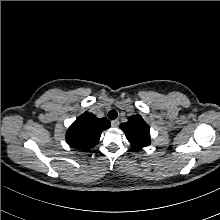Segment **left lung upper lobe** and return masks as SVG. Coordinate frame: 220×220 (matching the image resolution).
Here are the masks:
<instances>
[{"mask_svg": "<svg viewBox=\"0 0 220 220\" xmlns=\"http://www.w3.org/2000/svg\"><path fill=\"white\" fill-rule=\"evenodd\" d=\"M120 128L133 148L138 150L150 145L149 125L140 115L130 116L126 123L120 125Z\"/></svg>", "mask_w": 220, "mask_h": 220, "instance_id": "obj_1", "label": "left lung upper lobe"}]
</instances>
